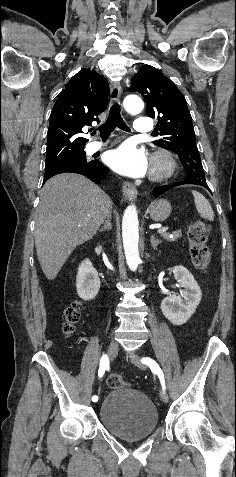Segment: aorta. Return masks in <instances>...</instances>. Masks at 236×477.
I'll return each mask as SVG.
<instances>
[{
	"label": "aorta",
	"instance_id": "obj_1",
	"mask_svg": "<svg viewBox=\"0 0 236 477\" xmlns=\"http://www.w3.org/2000/svg\"><path fill=\"white\" fill-rule=\"evenodd\" d=\"M125 110L132 115L139 114L144 108V102L137 95H128L123 101ZM122 238L129 268L135 271L140 263L138 242L139 222L135 205H129L124 211L122 220Z\"/></svg>",
	"mask_w": 236,
	"mask_h": 477
}]
</instances>
